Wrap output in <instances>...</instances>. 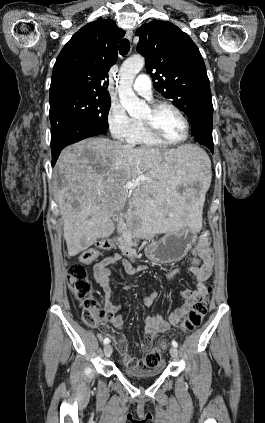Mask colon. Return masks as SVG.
<instances>
[{
    "mask_svg": "<svg viewBox=\"0 0 265 423\" xmlns=\"http://www.w3.org/2000/svg\"><path fill=\"white\" fill-rule=\"evenodd\" d=\"M208 233L200 235L197 250H201L208 245ZM113 245L111 240H102L93 248L87 250L80 261L73 262L68 267V284L72 294L78 298L83 305V321L92 328H99L102 331H109V315L96 302L88 280L86 265L91 263L101 250H107ZM212 291V282L206 284L203 290L197 295L196 302L188 313L186 319L181 323L179 330L182 333H188L199 327L206 315L209 295ZM167 343L161 341L157 348L148 352L146 357L138 364L139 368H156L162 363V352Z\"/></svg>",
    "mask_w": 265,
    "mask_h": 423,
    "instance_id": "1",
    "label": "colon"
}]
</instances>
